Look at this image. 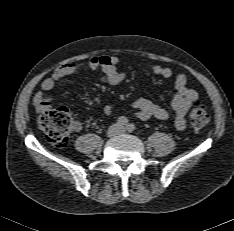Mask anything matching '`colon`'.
Returning <instances> with one entry per match:
<instances>
[{
    "mask_svg": "<svg viewBox=\"0 0 234 231\" xmlns=\"http://www.w3.org/2000/svg\"><path fill=\"white\" fill-rule=\"evenodd\" d=\"M190 123L195 129H202L209 123V114L203 106L195 105L189 112ZM38 126L48 141L56 147H64L72 128L70 111L65 107L43 110L37 118Z\"/></svg>",
    "mask_w": 234,
    "mask_h": 231,
    "instance_id": "colon-1",
    "label": "colon"
}]
</instances>
